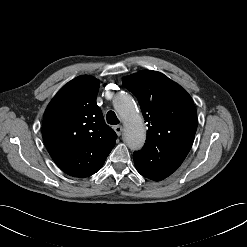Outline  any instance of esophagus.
I'll return each instance as SVG.
<instances>
[{
  "label": "esophagus",
  "mask_w": 247,
  "mask_h": 247,
  "mask_svg": "<svg viewBox=\"0 0 247 247\" xmlns=\"http://www.w3.org/2000/svg\"><path fill=\"white\" fill-rule=\"evenodd\" d=\"M114 130H115L116 134L118 136H120L122 131H123V127L121 125H117V126L114 127Z\"/></svg>",
  "instance_id": "1"
}]
</instances>
